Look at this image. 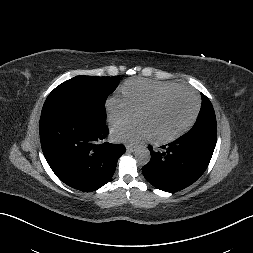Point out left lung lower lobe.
Segmentation results:
<instances>
[{
	"label": "left lung lower lobe",
	"instance_id": "obj_1",
	"mask_svg": "<svg viewBox=\"0 0 253 253\" xmlns=\"http://www.w3.org/2000/svg\"><path fill=\"white\" fill-rule=\"evenodd\" d=\"M216 141L202 135H183L162 150L151 152V159L142 168L146 180L166 191H180L194 183L206 170Z\"/></svg>",
	"mask_w": 253,
	"mask_h": 253
}]
</instances>
